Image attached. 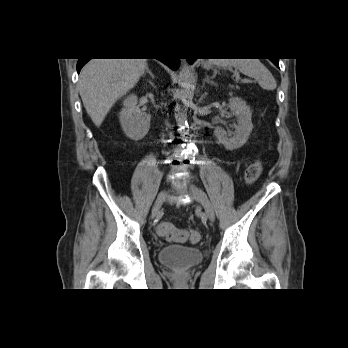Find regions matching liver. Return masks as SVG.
<instances>
[{
	"mask_svg": "<svg viewBox=\"0 0 348 348\" xmlns=\"http://www.w3.org/2000/svg\"><path fill=\"white\" fill-rule=\"evenodd\" d=\"M146 67L147 59H91L83 67L79 93L97 127L115 102L136 85Z\"/></svg>",
	"mask_w": 348,
	"mask_h": 348,
	"instance_id": "liver-1",
	"label": "liver"
}]
</instances>
